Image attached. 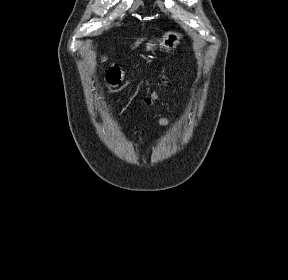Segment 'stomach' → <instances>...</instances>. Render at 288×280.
Returning a JSON list of instances; mask_svg holds the SVG:
<instances>
[{
	"mask_svg": "<svg viewBox=\"0 0 288 280\" xmlns=\"http://www.w3.org/2000/svg\"><path fill=\"white\" fill-rule=\"evenodd\" d=\"M182 35L180 33L169 31L164 34L162 39L160 40V46L164 48L166 51H171L176 48V46L180 43ZM156 46V43L153 41H149L146 43V49L148 51L153 50Z\"/></svg>",
	"mask_w": 288,
	"mask_h": 280,
	"instance_id": "1",
	"label": "stomach"
}]
</instances>
